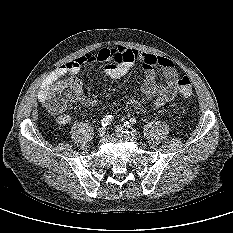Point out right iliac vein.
<instances>
[{"label":"right iliac vein","mask_w":233,"mask_h":233,"mask_svg":"<svg viewBox=\"0 0 233 233\" xmlns=\"http://www.w3.org/2000/svg\"><path fill=\"white\" fill-rule=\"evenodd\" d=\"M105 132H106V129L103 128V127H101V128H99V129L97 130V135H98L99 137H103V136L105 135Z\"/></svg>","instance_id":"1"}]
</instances>
